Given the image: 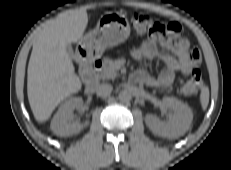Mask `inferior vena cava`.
Wrapping results in <instances>:
<instances>
[{
    "label": "inferior vena cava",
    "instance_id": "602c4592",
    "mask_svg": "<svg viewBox=\"0 0 231 170\" xmlns=\"http://www.w3.org/2000/svg\"><path fill=\"white\" fill-rule=\"evenodd\" d=\"M112 92V86L109 84H101L97 87L96 93L100 97H107Z\"/></svg>",
    "mask_w": 231,
    "mask_h": 170
}]
</instances>
